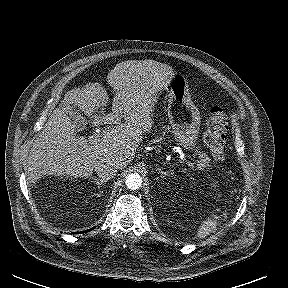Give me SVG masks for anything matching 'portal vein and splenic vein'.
<instances>
[{"mask_svg":"<svg viewBox=\"0 0 288 288\" xmlns=\"http://www.w3.org/2000/svg\"><path fill=\"white\" fill-rule=\"evenodd\" d=\"M99 137H100V134L99 133H95L92 136H90L88 140L89 141H96ZM186 164L191 169L196 170V166L193 163H191L190 161H186Z\"/></svg>","mask_w":288,"mask_h":288,"instance_id":"18ae733b","label":"portal vein and splenic vein"}]
</instances>
